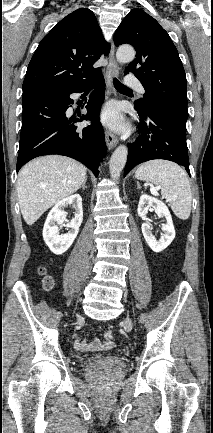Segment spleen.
I'll use <instances>...</instances> for the list:
<instances>
[{"mask_svg": "<svg viewBox=\"0 0 213 433\" xmlns=\"http://www.w3.org/2000/svg\"><path fill=\"white\" fill-rule=\"evenodd\" d=\"M135 177L158 186L174 214L182 220L189 218L192 193L187 174L180 166L170 161L152 160L142 164Z\"/></svg>", "mask_w": 213, "mask_h": 433, "instance_id": "3e777b00", "label": "spleen"}]
</instances>
